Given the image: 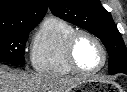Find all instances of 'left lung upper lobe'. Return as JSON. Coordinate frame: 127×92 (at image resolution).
Segmentation results:
<instances>
[{"label":"left lung upper lobe","instance_id":"left-lung-upper-lobe-1","mask_svg":"<svg viewBox=\"0 0 127 92\" xmlns=\"http://www.w3.org/2000/svg\"><path fill=\"white\" fill-rule=\"evenodd\" d=\"M52 13L97 36L109 54V73L127 72V49L111 15L99 0H49Z\"/></svg>","mask_w":127,"mask_h":92}]
</instances>
